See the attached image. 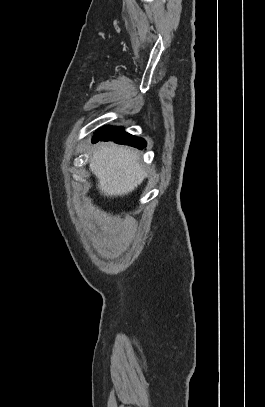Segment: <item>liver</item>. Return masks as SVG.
<instances>
[{
  "label": "liver",
  "instance_id": "liver-1",
  "mask_svg": "<svg viewBox=\"0 0 265 407\" xmlns=\"http://www.w3.org/2000/svg\"><path fill=\"white\" fill-rule=\"evenodd\" d=\"M89 168L98 179L100 193L107 197L127 195L146 177L137 152L112 143L93 151Z\"/></svg>",
  "mask_w": 265,
  "mask_h": 407
}]
</instances>
